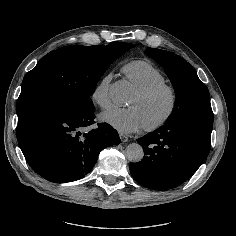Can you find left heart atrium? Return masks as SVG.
Instances as JSON below:
<instances>
[{"label": "left heart atrium", "mask_w": 236, "mask_h": 236, "mask_svg": "<svg viewBox=\"0 0 236 236\" xmlns=\"http://www.w3.org/2000/svg\"><path fill=\"white\" fill-rule=\"evenodd\" d=\"M101 120L123 134L135 132L144 127L142 117L134 107H111L102 113Z\"/></svg>", "instance_id": "obj_1"}]
</instances>
